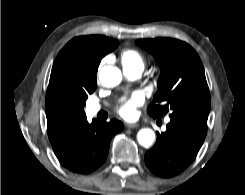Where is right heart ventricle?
Instances as JSON below:
<instances>
[{
  "mask_svg": "<svg viewBox=\"0 0 245 195\" xmlns=\"http://www.w3.org/2000/svg\"><path fill=\"white\" fill-rule=\"evenodd\" d=\"M121 62L123 68L139 67L143 69L145 65L143 56L134 49L124 50L121 53Z\"/></svg>",
  "mask_w": 245,
  "mask_h": 195,
  "instance_id": "e07e8e85",
  "label": "right heart ventricle"
}]
</instances>
